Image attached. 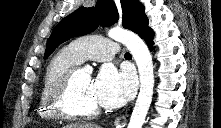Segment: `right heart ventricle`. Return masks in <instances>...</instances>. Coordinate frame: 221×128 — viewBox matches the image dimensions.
Returning a JSON list of instances; mask_svg holds the SVG:
<instances>
[{"label":"right heart ventricle","instance_id":"right-heart-ventricle-1","mask_svg":"<svg viewBox=\"0 0 221 128\" xmlns=\"http://www.w3.org/2000/svg\"><path fill=\"white\" fill-rule=\"evenodd\" d=\"M81 62L83 61L79 54L70 45L60 49L50 59L44 73L37 105V112L42 118L53 119L57 117L48 107V94L70 69L77 67Z\"/></svg>","mask_w":221,"mask_h":128}]
</instances>
